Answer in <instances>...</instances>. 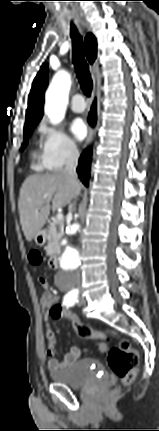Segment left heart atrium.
I'll return each instance as SVG.
<instances>
[{
  "label": "left heart atrium",
  "instance_id": "left-heart-atrium-1",
  "mask_svg": "<svg viewBox=\"0 0 159 431\" xmlns=\"http://www.w3.org/2000/svg\"><path fill=\"white\" fill-rule=\"evenodd\" d=\"M70 132L76 140L80 141L84 139L87 134V127L84 121L80 118L74 119L70 124Z\"/></svg>",
  "mask_w": 159,
  "mask_h": 431
}]
</instances>
